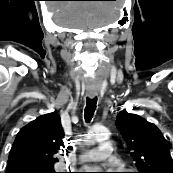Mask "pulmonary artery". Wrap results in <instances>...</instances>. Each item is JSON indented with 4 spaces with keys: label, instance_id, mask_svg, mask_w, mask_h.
<instances>
[{
    "label": "pulmonary artery",
    "instance_id": "e3ab8cb5",
    "mask_svg": "<svg viewBox=\"0 0 173 173\" xmlns=\"http://www.w3.org/2000/svg\"><path fill=\"white\" fill-rule=\"evenodd\" d=\"M113 147L111 142L103 141L98 147L86 151L80 155V160L88 162H98L106 160L110 157Z\"/></svg>",
    "mask_w": 173,
    "mask_h": 173
}]
</instances>
